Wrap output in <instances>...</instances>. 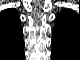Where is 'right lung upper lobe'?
<instances>
[{"instance_id": "right-lung-upper-lobe-1", "label": "right lung upper lobe", "mask_w": 80, "mask_h": 60, "mask_svg": "<svg viewBox=\"0 0 80 60\" xmlns=\"http://www.w3.org/2000/svg\"><path fill=\"white\" fill-rule=\"evenodd\" d=\"M23 30L20 18L14 8L7 9L0 16V51H17L23 45Z\"/></svg>"}]
</instances>
